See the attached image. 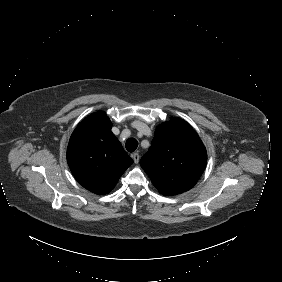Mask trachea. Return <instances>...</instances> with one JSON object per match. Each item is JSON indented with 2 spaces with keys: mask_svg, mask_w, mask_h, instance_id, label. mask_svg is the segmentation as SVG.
I'll return each instance as SVG.
<instances>
[{
  "mask_svg": "<svg viewBox=\"0 0 282 282\" xmlns=\"http://www.w3.org/2000/svg\"><path fill=\"white\" fill-rule=\"evenodd\" d=\"M125 146L127 151L134 152L138 147V141L135 138H129Z\"/></svg>",
  "mask_w": 282,
  "mask_h": 282,
  "instance_id": "1",
  "label": "trachea"
}]
</instances>
